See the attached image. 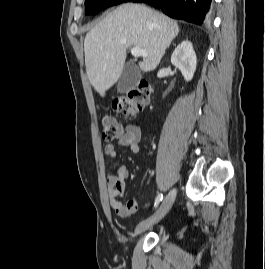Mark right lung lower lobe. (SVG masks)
I'll use <instances>...</instances> for the list:
<instances>
[{"label":"right lung lower lobe","instance_id":"98d812e1","mask_svg":"<svg viewBox=\"0 0 265 269\" xmlns=\"http://www.w3.org/2000/svg\"><path fill=\"white\" fill-rule=\"evenodd\" d=\"M212 0H128L127 2L148 3L160 8L165 14L175 19H182L195 24H202Z\"/></svg>","mask_w":265,"mask_h":269}]
</instances>
